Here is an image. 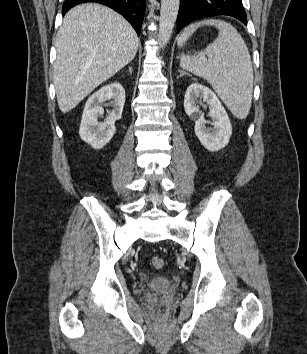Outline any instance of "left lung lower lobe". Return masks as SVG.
Here are the masks:
<instances>
[{"instance_id":"0a47b994","label":"left lung lower lobe","mask_w":307,"mask_h":354,"mask_svg":"<svg viewBox=\"0 0 307 354\" xmlns=\"http://www.w3.org/2000/svg\"><path fill=\"white\" fill-rule=\"evenodd\" d=\"M217 15L232 16L247 25L242 0H180L177 31L192 21Z\"/></svg>"}]
</instances>
